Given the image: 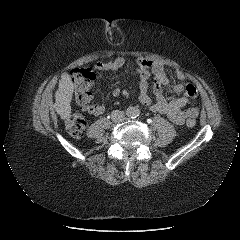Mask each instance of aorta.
I'll list each match as a JSON object with an SVG mask.
<instances>
[{
    "mask_svg": "<svg viewBox=\"0 0 240 240\" xmlns=\"http://www.w3.org/2000/svg\"><path fill=\"white\" fill-rule=\"evenodd\" d=\"M126 115L130 118H135L139 115V109L133 106H129L126 110Z\"/></svg>",
    "mask_w": 240,
    "mask_h": 240,
    "instance_id": "obj_1",
    "label": "aorta"
}]
</instances>
